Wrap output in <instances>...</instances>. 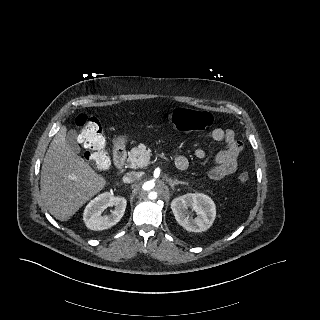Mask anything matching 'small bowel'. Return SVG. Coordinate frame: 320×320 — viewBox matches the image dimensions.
<instances>
[{"instance_id":"c3829d8e","label":"small bowel","mask_w":320,"mask_h":320,"mask_svg":"<svg viewBox=\"0 0 320 320\" xmlns=\"http://www.w3.org/2000/svg\"><path fill=\"white\" fill-rule=\"evenodd\" d=\"M211 137L216 142L225 143V148L214 157L213 166L209 170V176L212 179L220 180L236 171L243 144L237 139L234 131L230 129L215 128L211 132ZM195 156L199 159H205L206 152L202 148H197ZM175 163L179 169H186L189 165L187 157L183 155L176 157Z\"/></svg>"}]
</instances>
